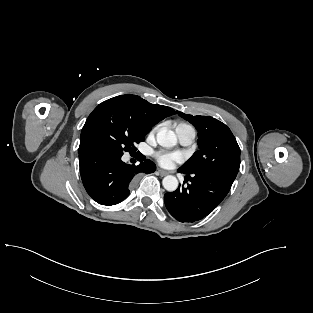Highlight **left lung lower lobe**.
<instances>
[{"instance_id":"obj_1","label":"left lung lower lobe","mask_w":313,"mask_h":313,"mask_svg":"<svg viewBox=\"0 0 313 313\" xmlns=\"http://www.w3.org/2000/svg\"><path fill=\"white\" fill-rule=\"evenodd\" d=\"M187 174L191 184L166 193L164 202L169 213L180 222H195L209 215L228 194L234 179L222 174Z\"/></svg>"}]
</instances>
